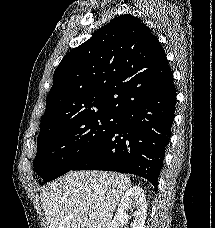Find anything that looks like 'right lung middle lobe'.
<instances>
[{
  "mask_svg": "<svg viewBox=\"0 0 215 228\" xmlns=\"http://www.w3.org/2000/svg\"><path fill=\"white\" fill-rule=\"evenodd\" d=\"M117 122L118 114L101 113L40 129L33 162L36 173L49 182L70 171L109 135Z\"/></svg>",
  "mask_w": 215,
  "mask_h": 228,
  "instance_id": "right-lung-middle-lobe-1",
  "label": "right lung middle lobe"
}]
</instances>
